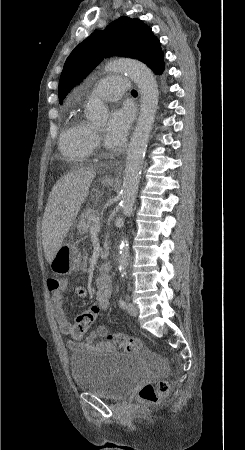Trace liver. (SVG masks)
<instances>
[{
	"mask_svg": "<svg viewBox=\"0 0 245 450\" xmlns=\"http://www.w3.org/2000/svg\"><path fill=\"white\" fill-rule=\"evenodd\" d=\"M95 175V169L81 167L64 175L53 186L42 220L43 249L49 264L73 226Z\"/></svg>",
	"mask_w": 245,
	"mask_h": 450,
	"instance_id": "1",
	"label": "liver"
}]
</instances>
